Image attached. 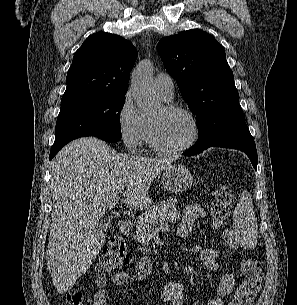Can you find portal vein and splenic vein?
Returning a JSON list of instances; mask_svg holds the SVG:
<instances>
[{
    "label": "portal vein and splenic vein",
    "instance_id": "obj_1",
    "mask_svg": "<svg viewBox=\"0 0 297 305\" xmlns=\"http://www.w3.org/2000/svg\"><path fill=\"white\" fill-rule=\"evenodd\" d=\"M118 200H119V197L116 198V201H118ZM112 207H113V206H110V209H111Z\"/></svg>",
    "mask_w": 297,
    "mask_h": 305
}]
</instances>
